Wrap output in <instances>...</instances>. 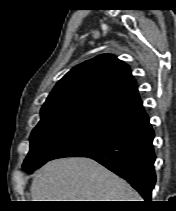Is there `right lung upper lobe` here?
<instances>
[{"label":"right lung upper lobe","mask_w":176,"mask_h":211,"mask_svg":"<svg viewBox=\"0 0 176 211\" xmlns=\"http://www.w3.org/2000/svg\"><path fill=\"white\" fill-rule=\"evenodd\" d=\"M142 107L130 67L102 54L72 68L54 87L41 115L66 114L102 121Z\"/></svg>","instance_id":"obj_1"}]
</instances>
